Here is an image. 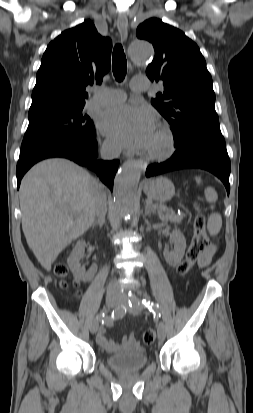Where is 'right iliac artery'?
Here are the masks:
<instances>
[{
	"label": "right iliac artery",
	"instance_id": "82829eb1",
	"mask_svg": "<svg viewBox=\"0 0 253 413\" xmlns=\"http://www.w3.org/2000/svg\"><path fill=\"white\" fill-rule=\"evenodd\" d=\"M126 314V308L124 306H118L115 310H113L111 316H106L104 311L100 312L96 315V320L104 322H112L113 320L122 318Z\"/></svg>",
	"mask_w": 253,
	"mask_h": 413
}]
</instances>
